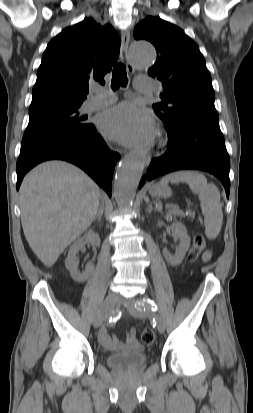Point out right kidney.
Returning a JSON list of instances; mask_svg holds the SVG:
<instances>
[{
	"label": "right kidney",
	"mask_w": 253,
	"mask_h": 413,
	"mask_svg": "<svg viewBox=\"0 0 253 413\" xmlns=\"http://www.w3.org/2000/svg\"><path fill=\"white\" fill-rule=\"evenodd\" d=\"M87 243L93 246H100V237L93 230H89L82 238L76 240L70 247L68 256L65 260V266L69 270L71 276L78 282L86 281L93 271V265L88 264L86 269L82 272L79 271V261L77 259L78 252L85 247Z\"/></svg>",
	"instance_id": "obj_1"
}]
</instances>
